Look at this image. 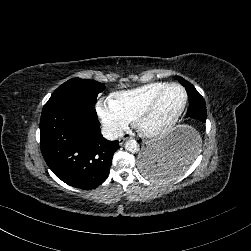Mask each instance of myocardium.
Wrapping results in <instances>:
<instances>
[{"label": "myocardium", "mask_w": 251, "mask_h": 251, "mask_svg": "<svg viewBox=\"0 0 251 251\" xmlns=\"http://www.w3.org/2000/svg\"><path fill=\"white\" fill-rule=\"evenodd\" d=\"M170 88H178L181 89L185 93V103L184 106L179 114V116L173 122L157 127L155 129L149 130V133L153 136H164L175 130L183 121L186 112L189 107L190 95L188 90L179 83H167L152 99L151 101L141 110L138 115V120L142 126H144L146 120L151 116L154 112L155 108L157 107L158 103L160 102L164 93Z\"/></svg>", "instance_id": "myocardium-1"}]
</instances>
